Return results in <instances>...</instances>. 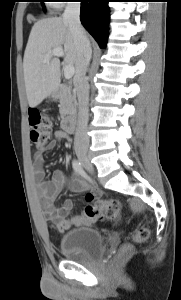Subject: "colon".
Wrapping results in <instances>:
<instances>
[{
	"mask_svg": "<svg viewBox=\"0 0 181 300\" xmlns=\"http://www.w3.org/2000/svg\"><path fill=\"white\" fill-rule=\"evenodd\" d=\"M29 125H30V140L33 145L43 147L49 137L52 126V120L42 111L33 110L29 112ZM85 208V215L95 221L112 220L119 216L121 203L118 200H99L95 203L88 202ZM150 231L146 227L138 228L133 239L136 242H142L148 239ZM130 245L126 244L122 247L118 257L123 258L129 251Z\"/></svg>",
	"mask_w": 181,
	"mask_h": 300,
	"instance_id": "5ec220e1",
	"label": "colon"
}]
</instances>
